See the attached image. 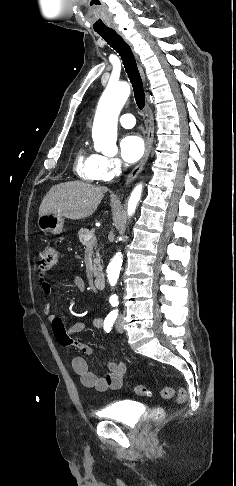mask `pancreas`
I'll return each mask as SVG.
<instances>
[{
  "label": "pancreas",
  "mask_w": 236,
  "mask_h": 486,
  "mask_svg": "<svg viewBox=\"0 0 236 486\" xmlns=\"http://www.w3.org/2000/svg\"><path fill=\"white\" fill-rule=\"evenodd\" d=\"M87 236H91V239L89 241H86ZM78 238L79 241L82 243V245L86 247H93L96 242V238L94 237V230L80 229V231L78 232ZM96 256L97 257L94 259V266H93V272L95 275L102 269L100 265L98 252L96 253Z\"/></svg>",
  "instance_id": "pancreas-1"
}]
</instances>
